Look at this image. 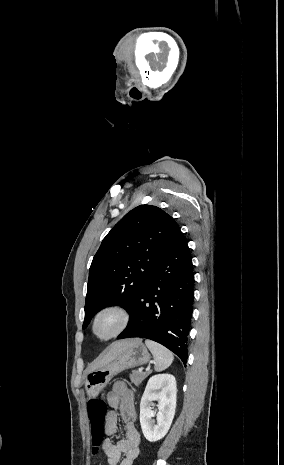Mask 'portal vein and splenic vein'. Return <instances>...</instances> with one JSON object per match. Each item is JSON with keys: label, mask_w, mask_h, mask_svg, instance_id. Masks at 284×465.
I'll return each instance as SVG.
<instances>
[{"label": "portal vein and splenic vein", "mask_w": 284, "mask_h": 465, "mask_svg": "<svg viewBox=\"0 0 284 465\" xmlns=\"http://www.w3.org/2000/svg\"><path fill=\"white\" fill-rule=\"evenodd\" d=\"M143 369H139V373H142Z\"/></svg>", "instance_id": "1"}]
</instances>
